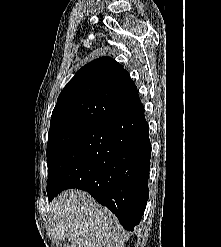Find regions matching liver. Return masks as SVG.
<instances>
[{
	"label": "liver",
	"instance_id": "liver-1",
	"mask_svg": "<svg viewBox=\"0 0 221 247\" xmlns=\"http://www.w3.org/2000/svg\"><path fill=\"white\" fill-rule=\"evenodd\" d=\"M49 210L75 247H124L129 237L107 208L81 190L64 191Z\"/></svg>",
	"mask_w": 221,
	"mask_h": 247
}]
</instances>
